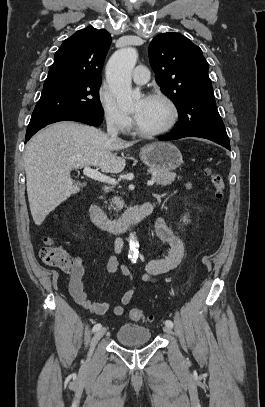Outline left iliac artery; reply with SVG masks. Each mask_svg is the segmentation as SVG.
<instances>
[{"instance_id":"obj_1","label":"left iliac artery","mask_w":265,"mask_h":407,"mask_svg":"<svg viewBox=\"0 0 265 407\" xmlns=\"http://www.w3.org/2000/svg\"><path fill=\"white\" fill-rule=\"evenodd\" d=\"M165 324H166L167 326L173 327V322H172L171 320H166V321H165Z\"/></svg>"}]
</instances>
